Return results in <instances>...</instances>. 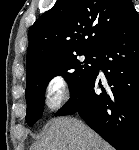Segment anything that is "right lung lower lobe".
Wrapping results in <instances>:
<instances>
[{
    "instance_id": "98d812e1",
    "label": "right lung lower lobe",
    "mask_w": 139,
    "mask_h": 150,
    "mask_svg": "<svg viewBox=\"0 0 139 150\" xmlns=\"http://www.w3.org/2000/svg\"><path fill=\"white\" fill-rule=\"evenodd\" d=\"M102 70L107 86L98 76ZM79 114L116 150H139V17L133 10L98 51L93 74L56 116Z\"/></svg>"
}]
</instances>
